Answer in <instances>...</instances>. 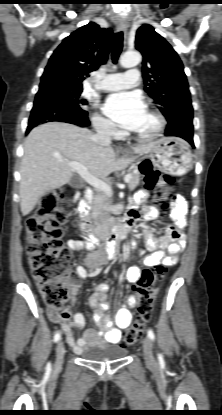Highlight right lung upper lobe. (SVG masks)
Returning a JSON list of instances; mask_svg holds the SVG:
<instances>
[{
  "mask_svg": "<svg viewBox=\"0 0 222 415\" xmlns=\"http://www.w3.org/2000/svg\"><path fill=\"white\" fill-rule=\"evenodd\" d=\"M112 30L94 22L71 33L57 47L44 70L41 83L53 80L82 87L89 73L104 64L110 51Z\"/></svg>",
  "mask_w": 222,
  "mask_h": 415,
  "instance_id": "1",
  "label": "right lung upper lobe"
}]
</instances>
